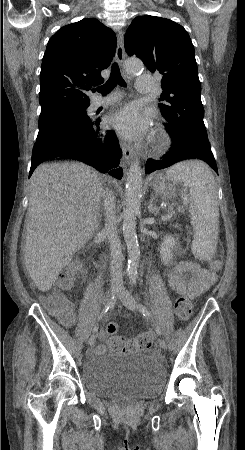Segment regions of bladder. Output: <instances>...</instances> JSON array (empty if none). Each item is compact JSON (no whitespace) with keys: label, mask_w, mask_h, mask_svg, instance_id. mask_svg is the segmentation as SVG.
I'll return each mask as SVG.
<instances>
[{"label":"bladder","mask_w":245,"mask_h":450,"mask_svg":"<svg viewBox=\"0 0 245 450\" xmlns=\"http://www.w3.org/2000/svg\"><path fill=\"white\" fill-rule=\"evenodd\" d=\"M87 391L110 397L119 391L137 396H157L164 383V369L142 354H105L87 360L81 367Z\"/></svg>","instance_id":"obj_1"}]
</instances>
